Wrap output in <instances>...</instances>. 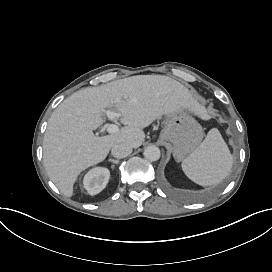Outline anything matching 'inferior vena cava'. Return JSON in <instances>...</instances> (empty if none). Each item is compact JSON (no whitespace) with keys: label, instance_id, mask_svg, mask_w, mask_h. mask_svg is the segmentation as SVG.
I'll return each instance as SVG.
<instances>
[{"label":"inferior vena cava","instance_id":"1","mask_svg":"<svg viewBox=\"0 0 272 272\" xmlns=\"http://www.w3.org/2000/svg\"><path fill=\"white\" fill-rule=\"evenodd\" d=\"M131 152H132V147L125 143L115 144L111 149V153L113 157L119 158V159L127 157L128 155L131 154Z\"/></svg>","mask_w":272,"mask_h":272}]
</instances>
